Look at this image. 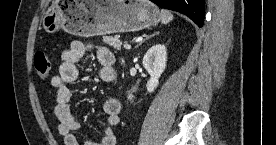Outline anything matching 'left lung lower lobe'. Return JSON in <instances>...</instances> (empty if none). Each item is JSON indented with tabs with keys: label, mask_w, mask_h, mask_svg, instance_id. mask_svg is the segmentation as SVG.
Instances as JSON below:
<instances>
[{
	"label": "left lung lower lobe",
	"mask_w": 276,
	"mask_h": 145,
	"mask_svg": "<svg viewBox=\"0 0 276 145\" xmlns=\"http://www.w3.org/2000/svg\"><path fill=\"white\" fill-rule=\"evenodd\" d=\"M159 6L188 16L199 27L204 22V0H151Z\"/></svg>",
	"instance_id": "obj_1"
}]
</instances>
